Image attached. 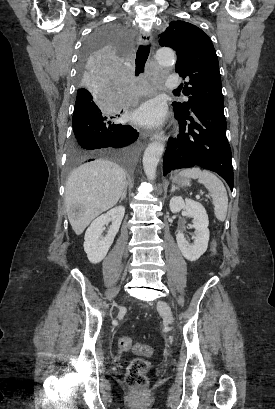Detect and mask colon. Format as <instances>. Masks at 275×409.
Here are the masks:
<instances>
[{
    "mask_svg": "<svg viewBox=\"0 0 275 409\" xmlns=\"http://www.w3.org/2000/svg\"><path fill=\"white\" fill-rule=\"evenodd\" d=\"M119 346L122 350H134L137 354L142 356L151 354L149 350L152 349L151 343L144 341H134L130 337H122L119 340ZM150 369V365L147 359L137 358L131 361L127 368L126 381L131 387H144L147 382V373Z\"/></svg>",
    "mask_w": 275,
    "mask_h": 409,
    "instance_id": "1",
    "label": "colon"
}]
</instances>
